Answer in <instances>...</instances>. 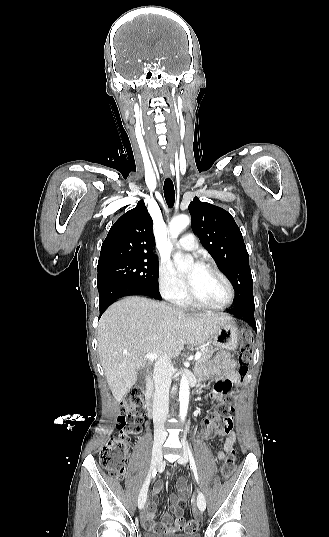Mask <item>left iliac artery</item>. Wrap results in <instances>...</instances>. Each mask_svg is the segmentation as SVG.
Listing matches in <instances>:
<instances>
[{"instance_id":"obj_1","label":"left iliac artery","mask_w":329,"mask_h":537,"mask_svg":"<svg viewBox=\"0 0 329 537\" xmlns=\"http://www.w3.org/2000/svg\"><path fill=\"white\" fill-rule=\"evenodd\" d=\"M187 451H188V454H189V459H190V464H191L190 467L192 468V470L194 472V476H195V479H196L197 483H199V478H198V473H197L195 460H194V457L192 455V451H191L188 443H187Z\"/></svg>"}]
</instances>
